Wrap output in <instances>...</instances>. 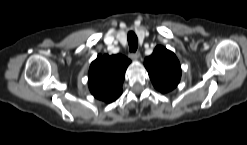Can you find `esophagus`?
Here are the masks:
<instances>
[{
  "label": "esophagus",
  "mask_w": 247,
  "mask_h": 145,
  "mask_svg": "<svg viewBox=\"0 0 247 145\" xmlns=\"http://www.w3.org/2000/svg\"><path fill=\"white\" fill-rule=\"evenodd\" d=\"M129 57H130L131 59L136 60V59H138V58L140 57V53H139L138 51H136V52H130V53H129Z\"/></svg>",
  "instance_id": "1"
}]
</instances>
